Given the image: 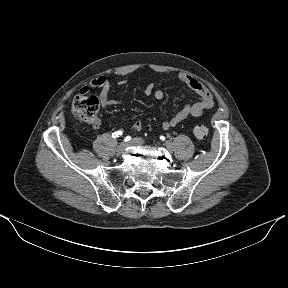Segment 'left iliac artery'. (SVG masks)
<instances>
[{"instance_id":"obj_1","label":"left iliac artery","mask_w":288,"mask_h":288,"mask_svg":"<svg viewBox=\"0 0 288 288\" xmlns=\"http://www.w3.org/2000/svg\"><path fill=\"white\" fill-rule=\"evenodd\" d=\"M160 138H161V140H165V137H164V136H161Z\"/></svg>"}]
</instances>
